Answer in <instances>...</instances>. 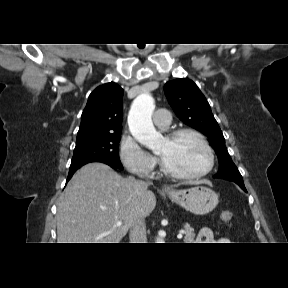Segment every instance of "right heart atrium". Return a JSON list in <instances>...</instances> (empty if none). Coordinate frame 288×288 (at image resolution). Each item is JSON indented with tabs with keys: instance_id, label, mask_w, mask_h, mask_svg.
<instances>
[{
	"instance_id": "1",
	"label": "right heart atrium",
	"mask_w": 288,
	"mask_h": 288,
	"mask_svg": "<svg viewBox=\"0 0 288 288\" xmlns=\"http://www.w3.org/2000/svg\"><path fill=\"white\" fill-rule=\"evenodd\" d=\"M120 158L128 171L139 176L152 175L157 164L156 159L129 135H124L121 139Z\"/></svg>"
}]
</instances>
